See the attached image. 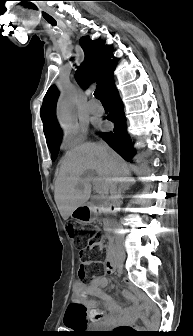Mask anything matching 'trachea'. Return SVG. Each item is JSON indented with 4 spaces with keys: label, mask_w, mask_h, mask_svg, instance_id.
<instances>
[{
    "label": "trachea",
    "mask_w": 193,
    "mask_h": 336,
    "mask_svg": "<svg viewBox=\"0 0 193 336\" xmlns=\"http://www.w3.org/2000/svg\"><path fill=\"white\" fill-rule=\"evenodd\" d=\"M94 96H95V98H97L98 100H100L102 103H107L105 97L103 96V94L101 93L100 90H98V89L95 90Z\"/></svg>",
    "instance_id": "trachea-1"
}]
</instances>
